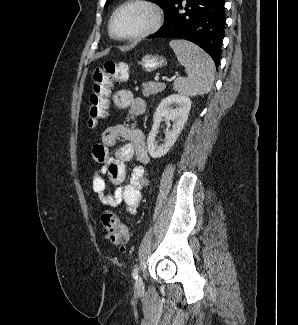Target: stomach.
<instances>
[{"mask_svg":"<svg viewBox=\"0 0 298 325\" xmlns=\"http://www.w3.org/2000/svg\"><path fill=\"white\" fill-rule=\"evenodd\" d=\"M138 64L142 66L145 72H154V70H159L168 64L166 56L164 54H153V52H146L138 60Z\"/></svg>","mask_w":298,"mask_h":325,"instance_id":"stomach-1","label":"stomach"}]
</instances>
